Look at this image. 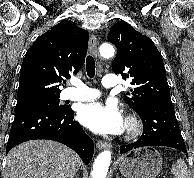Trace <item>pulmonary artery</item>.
<instances>
[{
    "mask_svg": "<svg viewBox=\"0 0 194 178\" xmlns=\"http://www.w3.org/2000/svg\"><path fill=\"white\" fill-rule=\"evenodd\" d=\"M101 83L105 88H114L117 85L114 75L104 76ZM74 86V88H69L65 91L64 99L82 102L92 101L100 96V92L97 89L90 88L80 81L75 82Z\"/></svg>",
    "mask_w": 194,
    "mask_h": 178,
    "instance_id": "obj_1",
    "label": "pulmonary artery"
}]
</instances>
